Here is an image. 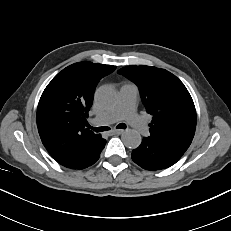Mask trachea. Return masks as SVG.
<instances>
[{"instance_id": "3493384b", "label": "trachea", "mask_w": 231, "mask_h": 231, "mask_svg": "<svg viewBox=\"0 0 231 231\" xmlns=\"http://www.w3.org/2000/svg\"><path fill=\"white\" fill-rule=\"evenodd\" d=\"M86 126L89 128V129H92L93 131H95V132H103V131H108V130H110V128L109 127H107V126H102V127H92V126H90L89 124H86ZM126 125L124 124V123H120V124H118L117 125V129H126Z\"/></svg>"}]
</instances>
